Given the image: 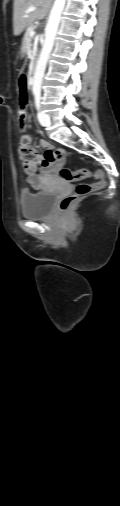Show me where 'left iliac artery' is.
I'll list each match as a JSON object with an SVG mask.
<instances>
[{"instance_id": "1", "label": "left iliac artery", "mask_w": 120, "mask_h": 506, "mask_svg": "<svg viewBox=\"0 0 120 506\" xmlns=\"http://www.w3.org/2000/svg\"><path fill=\"white\" fill-rule=\"evenodd\" d=\"M40 99H41L40 94H35V106L37 109L40 108Z\"/></svg>"}]
</instances>
